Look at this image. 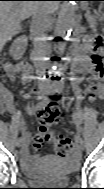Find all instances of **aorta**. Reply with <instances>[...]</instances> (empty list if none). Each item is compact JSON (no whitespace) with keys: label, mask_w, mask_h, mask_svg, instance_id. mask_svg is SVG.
<instances>
[{"label":"aorta","mask_w":104,"mask_h":189,"mask_svg":"<svg viewBox=\"0 0 104 189\" xmlns=\"http://www.w3.org/2000/svg\"><path fill=\"white\" fill-rule=\"evenodd\" d=\"M75 7L76 5L73 1H67L62 6L61 21L58 26V36L61 38H66L71 35L75 21ZM62 40L63 39H61V41ZM63 47L64 45L61 42L60 48L62 49ZM65 75L66 74L63 71H58L55 73V82H64Z\"/></svg>","instance_id":"obj_1"}]
</instances>
